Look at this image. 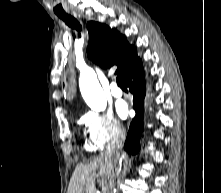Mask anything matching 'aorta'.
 Instances as JSON below:
<instances>
[{"label": "aorta", "mask_w": 221, "mask_h": 193, "mask_svg": "<svg viewBox=\"0 0 221 193\" xmlns=\"http://www.w3.org/2000/svg\"><path fill=\"white\" fill-rule=\"evenodd\" d=\"M79 86L83 99L92 110L99 112L106 109V96L93 69L87 67L81 70Z\"/></svg>", "instance_id": "762f6f07"}]
</instances>
